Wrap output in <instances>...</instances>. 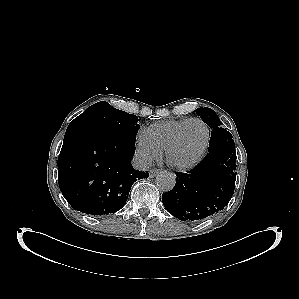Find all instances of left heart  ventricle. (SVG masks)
<instances>
[{
	"label": "left heart ventricle",
	"mask_w": 299,
	"mask_h": 299,
	"mask_svg": "<svg viewBox=\"0 0 299 299\" xmlns=\"http://www.w3.org/2000/svg\"><path fill=\"white\" fill-rule=\"evenodd\" d=\"M206 131L197 122L189 124L183 131L177 146L172 151V159L185 163L193 159L201 150L205 141Z\"/></svg>",
	"instance_id": "1"
}]
</instances>
